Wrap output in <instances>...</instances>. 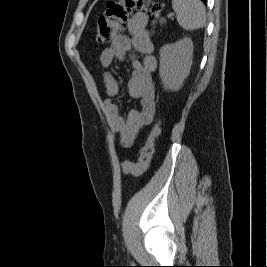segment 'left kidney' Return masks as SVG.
<instances>
[{
	"label": "left kidney",
	"mask_w": 267,
	"mask_h": 267,
	"mask_svg": "<svg viewBox=\"0 0 267 267\" xmlns=\"http://www.w3.org/2000/svg\"><path fill=\"white\" fill-rule=\"evenodd\" d=\"M193 42L184 38L160 49L159 75L165 90L178 91L192 65Z\"/></svg>",
	"instance_id": "left-kidney-1"
}]
</instances>
